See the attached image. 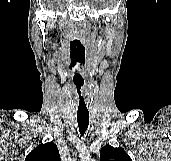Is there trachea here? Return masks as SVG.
<instances>
[{
	"label": "trachea",
	"instance_id": "obj_1",
	"mask_svg": "<svg viewBox=\"0 0 171 161\" xmlns=\"http://www.w3.org/2000/svg\"><path fill=\"white\" fill-rule=\"evenodd\" d=\"M79 132L84 135L89 125V112H77Z\"/></svg>",
	"mask_w": 171,
	"mask_h": 161
}]
</instances>
